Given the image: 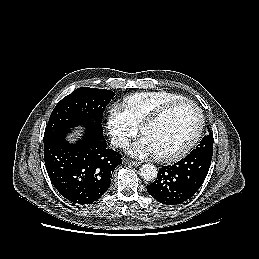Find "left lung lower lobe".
Segmentation results:
<instances>
[{"instance_id": "1", "label": "left lung lower lobe", "mask_w": 259, "mask_h": 259, "mask_svg": "<svg viewBox=\"0 0 259 259\" xmlns=\"http://www.w3.org/2000/svg\"><path fill=\"white\" fill-rule=\"evenodd\" d=\"M211 158L189 154L172 166L159 169L156 180L147 186L158 202L175 205L191 198L203 184Z\"/></svg>"}]
</instances>
